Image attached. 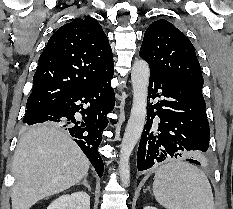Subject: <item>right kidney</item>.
Masks as SVG:
<instances>
[{"label":"right kidney","mask_w":233,"mask_h":209,"mask_svg":"<svg viewBox=\"0 0 233 209\" xmlns=\"http://www.w3.org/2000/svg\"><path fill=\"white\" fill-rule=\"evenodd\" d=\"M47 209H90V197L81 191L63 195L54 200Z\"/></svg>","instance_id":"obj_1"}]
</instances>
